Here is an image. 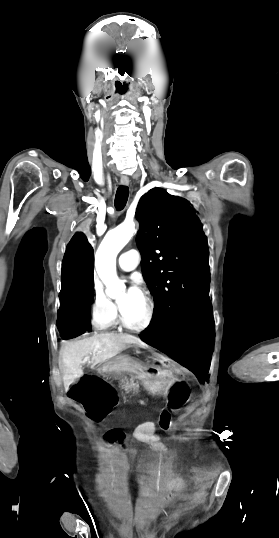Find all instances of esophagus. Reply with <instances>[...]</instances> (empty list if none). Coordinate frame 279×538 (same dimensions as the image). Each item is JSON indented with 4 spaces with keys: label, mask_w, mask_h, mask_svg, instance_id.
<instances>
[{
    "label": "esophagus",
    "mask_w": 279,
    "mask_h": 538,
    "mask_svg": "<svg viewBox=\"0 0 279 538\" xmlns=\"http://www.w3.org/2000/svg\"><path fill=\"white\" fill-rule=\"evenodd\" d=\"M120 181L122 185H125V186L129 185V179L127 177H121Z\"/></svg>",
    "instance_id": "34e87169"
}]
</instances>
